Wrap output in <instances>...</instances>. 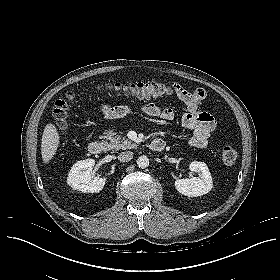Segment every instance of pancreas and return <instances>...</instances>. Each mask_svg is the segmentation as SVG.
<instances>
[{"instance_id": "cf45deb5", "label": "pancreas", "mask_w": 280, "mask_h": 280, "mask_svg": "<svg viewBox=\"0 0 280 280\" xmlns=\"http://www.w3.org/2000/svg\"><path fill=\"white\" fill-rule=\"evenodd\" d=\"M103 138L107 139L109 143H106V146L109 150H126L133 149L136 147V143L126 139L125 137L121 138L120 135H117L116 132L108 130L104 133Z\"/></svg>"}]
</instances>
